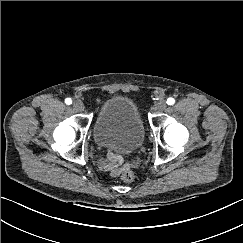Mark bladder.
I'll use <instances>...</instances> for the list:
<instances>
[{
    "label": "bladder",
    "instance_id": "1",
    "mask_svg": "<svg viewBox=\"0 0 243 243\" xmlns=\"http://www.w3.org/2000/svg\"><path fill=\"white\" fill-rule=\"evenodd\" d=\"M145 126L135 102L126 96L105 100L92 127L94 142L102 147H115L125 152L139 149L145 140Z\"/></svg>",
    "mask_w": 243,
    "mask_h": 243
}]
</instances>
